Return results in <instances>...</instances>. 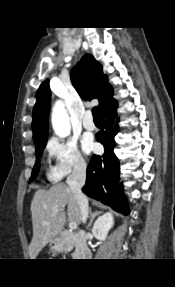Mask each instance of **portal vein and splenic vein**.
Returning <instances> with one entry per match:
<instances>
[{
  "instance_id": "obj_1",
  "label": "portal vein and splenic vein",
  "mask_w": 175,
  "mask_h": 287,
  "mask_svg": "<svg viewBox=\"0 0 175 287\" xmlns=\"http://www.w3.org/2000/svg\"><path fill=\"white\" fill-rule=\"evenodd\" d=\"M59 213V210L58 209H55L54 211H53V214L54 215H57ZM69 228L71 229V230H75L76 228H77V223L76 222H70L69 223Z\"/></svg>"
}]
</instances>
